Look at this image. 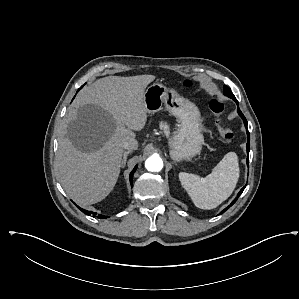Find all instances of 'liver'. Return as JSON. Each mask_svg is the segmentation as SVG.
<instances>
[{"instance_id":"6515ba94","label":"liver","mask_w":299,"mask_h":299,"mask_svg":"<svg viewBox=\"0 0 299 299\" xmlns=\"http://www.w3.org/2000/svg\"><path fill=\"white\" fill-rule=\"evenodd\" d=\"M154 79L108 76L76 97L59 139L57 167L65 192L78 204L100 202L113 190L122 166V143L146 124L144 93ZM76 121H82L78 130L73 129Z\"/></svg>"}]
</instances>
